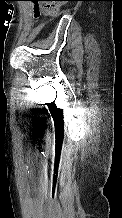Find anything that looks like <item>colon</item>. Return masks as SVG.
<instances>
[{
    "mask_svg": "<svg viewBox=\"0 0 122 218\" xmlns=\"http://www.w3.org/2000/svg\"><path fill=\"white\" fill-rule=\"evenodd\" d=\"M65 1L66 0H34V2H39L41 4L40 8L34 10V14L35 16H38L43 13L47 16H53L59 11L60 6Z\"/></svg>",
    "mask_w": 122,
    "mask_h": 218,
    "instance_id": "1",
    "label": "colon"
}]
</instances>
